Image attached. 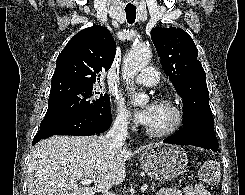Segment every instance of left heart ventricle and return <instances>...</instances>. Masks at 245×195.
Here are the masks:
<instances>
[{
  "label": "left heart ventricle",
  "mask_w": 245,
  "mask_h": 195,
  "mask_svg": "<svg viewBox=\"0 0 245 195\" xmlns=\"http://www.w3.org/2000/svg\"><path fill=\"white\" fill-rule=\"evenodd\" d=\"M174 120V112L167 106L156 104L154 113L146 125L151 130H163L171 125Z\"/></svg>",
  "instance_id": "1"
}]
</instances>
